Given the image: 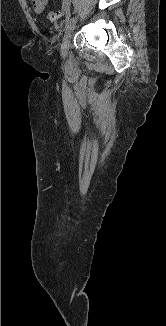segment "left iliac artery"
<instances>
[{
	"mask_svg": "<svg viewBox=\"0 0 166 326\" xmlns=\"http://www.w3.org/2000/svg\"><path fill=\"white\" fill-rule=\"evenodd\" d=\"M69 18H70V13L68 12L66 14V18H65V26H67L68 22H69Z\"/></svg>",
	"mask_w": 166,
	"mask_h": 326,
	"instance_id": "1",
	"label": "left iliac artery"
}]
</instances>
